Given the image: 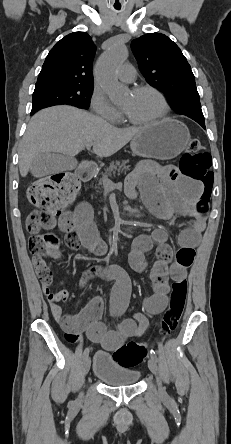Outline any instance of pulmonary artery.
Wrapping results in <instances>:
<instances>
[{"instance_id": "obj_1", "label": "pulmonary artery", "mask_w": 231, "mask_h": 444, "mask_svg": "<svg viewBox=\"0 0 231 444\" xmlns=\"http://www.w3.org/2000/svg\"><path fill=\"white\" fill-rule=\"evenodd\" d=\"M136 77V70L131 64H124L118 71V78L123 82H133Z\"/></svg>"}]
</instances>
